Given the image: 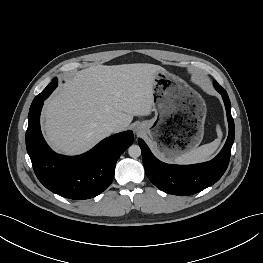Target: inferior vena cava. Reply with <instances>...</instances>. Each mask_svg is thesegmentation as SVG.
Returning a JSON list of instances; mask_svg holds the SVG:
<instances>
[{
	"label": "inferior vena cava",
	"mask_w": 263,
	"mask_h": 263,
	"mask_svg": "<svg viewBox=\"0 0 263 263\" xmlns=\"http://www.w3.org/2000/svg\"><path fill=\"white\" fill-rule=\"evenodd\" d=\"M106 129L109 131V132H117L119 130V124L118 122H109L105 125Z\"/></svg>",
	"instance_id": "1"
}]
</instances>
